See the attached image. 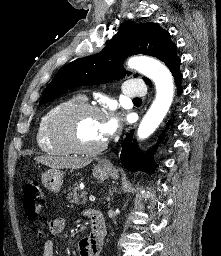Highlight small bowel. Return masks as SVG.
Segmentation results:
<instances>
[{
    "mask_svg": "<svg viewBox=\"0 0 221 256\" xmlns=\"http://www.w3.org/2000/svg\"><path fill=\"white\" fill-rule=\"evenodd\" d=\"M92 211L88 215L92 216ZM66 226L65 219L62 217H53L47 221L38 223V230L40 233L48 232L50 234H59L64 231ZM102 243L94 242L90 236L84 237L79 242L80 256H99ZM42 256H54V244L52 240L45 239L43 241Z\"/></svg>",
    "mask_w": 221,
    "mask_h": 256,
    "instance_id": "1",
    "label": "small bowel"
}]
</instances>
